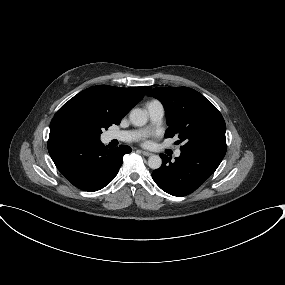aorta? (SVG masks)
<instances>
[{
    "label": "aorta",
    "instance_id": "762f6f07",
    "mask_svg": "<svg viewBox=\"0 0 285 285\" xmlns=\"http://www.w3.org/2000/svg\"><path fill=\"white\" fill-rule=\"evenodd\" d=\"M130 121L135 126H144L147 123L148 116L147 113L142 109H134L130 113ZM162 164V160L158 155H151L148 158V166L151 169H158Z\"/></svg>",
    "mask_w": 285,
    "mask_h": 285
}]
</instances>
